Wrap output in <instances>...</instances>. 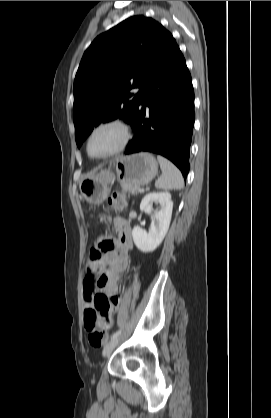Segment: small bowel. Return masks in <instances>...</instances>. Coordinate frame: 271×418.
Here are the masks:
<instances>
[{"label":"small bowel","instance_id":"c3829d8e","mask_svg":"<svg viewBox=\"0 0 271 418\" xmlns=\"http://www.w3.org/2000/svg\"><path fill=\"white\" fill-rule=\"evenodd\" d=\"M114 225L119 235V241L115 244L114 249L107 252L100 261H90V271L92 273L100 272L105 263L109 265L108 270L98 278L97 287L90 276H87L83 283L85 312L94 308V300L97 294H102L108 299L107 308L100 311L105 328L112 326L113 314L118 310L120 302L118 282L129 265V250L132 248L129 224L124 219L116 218Z\"/></svg>","mask_w":271,"mask_h":418}]
</instances>
